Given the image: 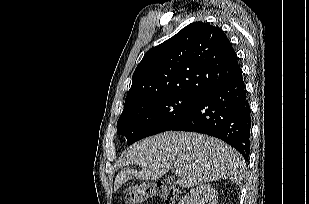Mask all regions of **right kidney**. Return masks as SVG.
<instances>
[{
  "instance_id": "ca27d5eb",
  "label": "right kidney",
  "mask_w": 309,
  "mask_h": 204,
  "mask_svg": "<svg viewBox=\"0 0 309 204\" xmlns=\"http://www.w3.org/2000/svg\"><path fill=\"white\" fill-rule=\"evenodd\" d=\"M179 204H217L216 190L210 184H201L191 189Z\"/></svg>"
}]
</instances>
